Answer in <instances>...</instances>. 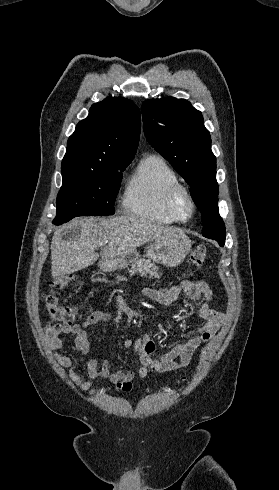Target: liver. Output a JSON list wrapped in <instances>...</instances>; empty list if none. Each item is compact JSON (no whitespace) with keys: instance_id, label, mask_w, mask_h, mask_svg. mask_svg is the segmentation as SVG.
<instances>
[{"instance_id":"obj_1","label":"liver","mask_w":279,"mask_h":490,"mask_svg":"<svg viewBox=\"0 0 279 490\" xmlns=\"http://www.w3.org/2000/svg\"><path fill=\"white\" fill-rule=\"evenodd\" d=\"M78 226L81 236L74 242H65L61 232L65 226ZM63 228H57L51 242V274L53 278H63L78 270L89 268L101 260H110L123 254L134 252L147 242H164L185 238L182 230L159 226L137 216H119V218H74ZM102 248L101 254L95 250Z\"/></svg>"}]
</instances>
